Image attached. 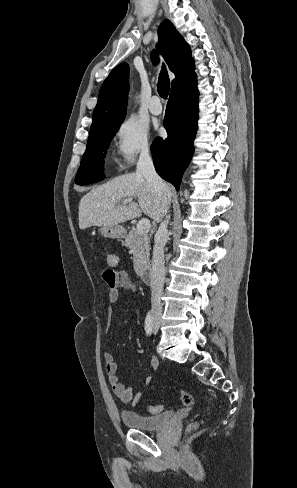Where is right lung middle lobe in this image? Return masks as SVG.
<instances>
[{
  "mask_svg": "<svg viewBox=\"0 0 297 488\" xmlns=\"http://www.w3.org/2000/svg\"><path fill=\"white\" fill-rule=\"evenodd\" d=\"M120 126H103L90 133L75 183L86 185L103 179V158Z\"/></svg>",
  "mask_w": 297,
  "mask_h": 488,
  "instance_id": "right-lung-middle-lobe-1",
  "label": "right lung middle lobe"
}]
</instances>
